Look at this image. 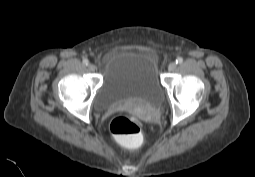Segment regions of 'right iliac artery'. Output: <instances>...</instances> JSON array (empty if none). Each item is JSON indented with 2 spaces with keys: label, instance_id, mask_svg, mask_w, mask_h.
I'll return each mask as SVG.
<instances>
[{
  "label": "right iliac artery",
  "instance_id": "1",
  "mask_svg": "<svg viewBox=\"0 0 255 177\" xmlns=\"http://www.w3.org/2000/svg\"><path fill=\"white\" fill-rule=\"evenodd\" d=\"M88 63H89L88 59H83V64L84 65H88Z\"/></svg>",
  "mask_w": 255,
  "mask_h": 177
}]
</instances>
